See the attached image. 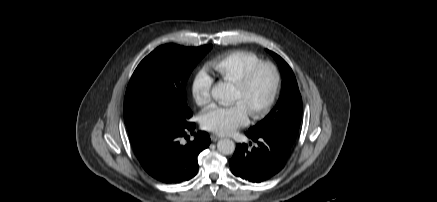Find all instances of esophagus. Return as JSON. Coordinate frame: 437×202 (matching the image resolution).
I'll return each mask as SVG.
<instances>
[{
	"instance_id": "obj_1",
	"label": "esophagus",
	"mask_w": 437,
	"mask_h": 202,
	"mask_svg": "<svg viewBox=\"0 0 437 202\" xmlns=\"http://www.w3.org/2000/svg\"><path fill=\"white\" fill-rule=\"evenodd\" d=\"M220 139H221L220 136H217V135H215V134H212V135H211V140H212L213 142H216V141H218V140H220Z\"/></svg>"
}]
</instances>
